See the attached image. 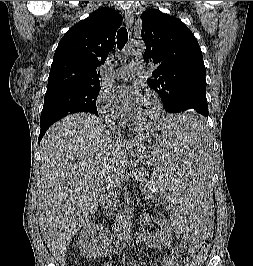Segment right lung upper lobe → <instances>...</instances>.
Wrapping results in <instances>:
<instances>
[{"label": "right lung upper lobe", "mask_w": 253, "mask_h": 266, "mask_svg": "<svg viewBox=\"0 0 253 266\" xmlns=\"http://www.w3.org/2000/svg\"><path fill=\"white\" fill-rule=\"evenodd\" d=\"M121 23L119 13L101 8L70 28L55 51L47 91L100 84L97 68L113 49Z\"/></svg>", "instance_id": "obj_1"}]
</instances>
